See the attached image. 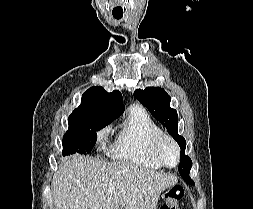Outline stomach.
Instances as JSON below:
<instances>
[{
  "label": "stomach",
  "mask_w": 253,
  "mask_h": 209,
  "mask_svg": "<svg viewBox=\"0 0 253 209\" xmlns=\"http://www.w3.org/2000/svg\"><path fill=\"white\" fill-rule=\"evenodd\" d=\"M167 193H168V191H165V193H164V195H163V198H165L166 196H167ZM169 198H167V200H168ZM118 209H123L122 207H119Z\"/></svg>",
  "instance_id": "stomach-1"
}]
</instances>
